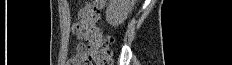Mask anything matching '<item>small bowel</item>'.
Instances as JSON below:
<instances>
[{"label": "small bowel", "instance_id": "c3829d8e", "mask_svg": "<svg viewBox=\"0 0 232 65\" xmlns=\"http://www.w3.org/2000/svg\"><path fill=\"white\" fill-rule=\"evenodd\" d=\"M72 31L75 38L78 40H81L85 37L84 25L81 20L73 25ZM80 47L78 48L75 55L69 60L68 65H86L87 58L86 55L80 51Z\"/></svg>", "mask_w": 232, "mask_h": 65}]
</instances>
